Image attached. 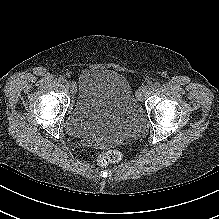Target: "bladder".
I'll list each match as a JSON object with an SVG mask.
<instances>
[{
	"label": "bladder",
	"mask_w": 219,
	"mask_h": 219,
	"mask_svg": "<svg viewBox=\"0 0 219 219\" xmlns=\"http://www.w3.org/2000/svg\"><path fill=\"white\" fill-rule=\"evenodd\" d=\"M75 92L73 107L65 117L71 135L111 145L145 132V112L122 74L84 70L75 82Z\"/></svg>",
	"instance_id": "31cf9c89"
}]
</instances>
